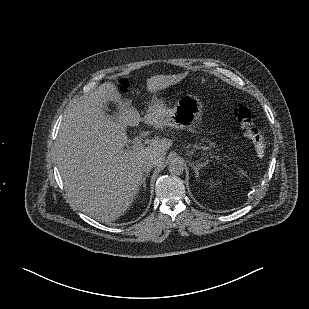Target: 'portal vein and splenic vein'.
Returning <instances> with one entry per match:
<instances>
[{
	"mask_svg": "<svg viewBox=\"0 0 309 309\" xmlns=\"http://www.w3.org/2000/svg\"><path fill=\"white\" fill-rule=\"evenodd\" d=\"M132 148H133L134 150H140V149H143V148H144V144L141 143L140 141H135V142L133 143Z\"/></svg>",
	"mask_w": 309,
	"mask_h": 309,
	"instance_id": "1",
	"label": "portal vein and splenic vein"
}]
</instances>
